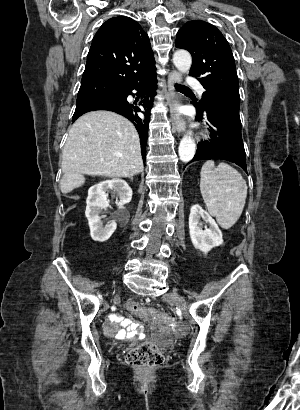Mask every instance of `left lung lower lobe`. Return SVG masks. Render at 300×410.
<instances>
[{
	"label": "left lung lower lobe",
	"instance_id": "obj_1",
	"mask_svg": "<svg viewBox=\"0 0 300 410\" xmlns=\"http://www.w3.org/2000/svg\"><path fill=\"white\" fill-rule=\"evenodd\" d=\"M197 119L208 121L211 134L209 140L198 143L191 162L223 159L236 163L247 172L239 108L219 101H209L204 109L197 105Z\"/></svg>",
	"mask_w": 300,
	"mask_h": 410
}]
</instances>
